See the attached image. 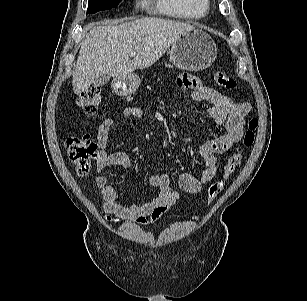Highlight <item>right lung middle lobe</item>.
Segmentation results:
<instances>
[{
    "instance_id": "dd1d6c3e",
    "label": "right lung middle lobe",
    "mask_w": 307,
    "mask_h": 301,
    "mask_svg": "<svg viewBox=\"0 0 307 301\" xmlns=\"http://www.w3.org/2000/svg\"><path fill=\"white\" fill-rule=\"evenodd\" d=\"M122 0H89L87 13H96L116 7Z\"/></svg>"
}]
</instances>
